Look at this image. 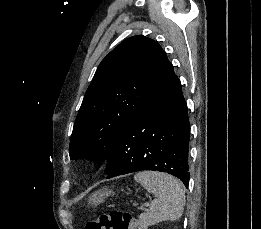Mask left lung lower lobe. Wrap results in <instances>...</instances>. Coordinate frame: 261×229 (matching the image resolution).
<instances>
[{
	"instance_id": "obj_1",
	"label": "left lung lower lobe",
	"mask_w": 261,
	"mask_h": 229,
	"mask_svg": "<svg viewBox=\"0 0 261 229\" xmlns=\"http://www.w3.org/2000/svg\"><path fill=\"white\" fill-rule=\"evenodd\" d=\"M189 139L188 110L180 81L173 74L126 125L108 158L107 178L156 170L188 186Z\"/></svg>"
}]
</instances>
